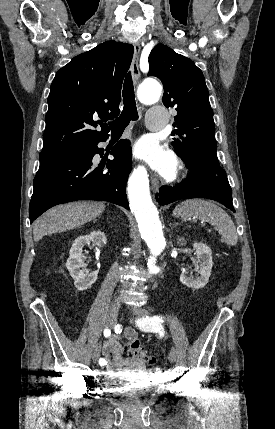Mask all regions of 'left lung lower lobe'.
<instances>
[{
    "instance_id": "obj_1",
    "label": "left lung lower lobe",
    "mask_w": 275,
    "mask_h": 429,
    "mask_svg": "<svg viewBox=\"0 0 275 429\" xmlns=\"http://www.w3.org/2000/svg\"><path fill=\"white\" fill-rule=\"evenodd\" d=\"M191 171L187 181L176 187L162 186L156 199L166 205L179 199L207 198L218 201L235 212L232 190L225 170L210 161L186 164Z\"/></svg>"
}]
</instances>
